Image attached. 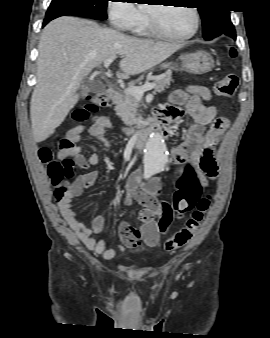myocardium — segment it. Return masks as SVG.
I'll return each mask as SVG.
<instances>
[{
	"label": "myocardium",
	"mask_w": 270,
	"mask_h": 338,
	"mask_svg": "<svg viewBox=\"0 0 270 338\" xmlns=\"http://www.w3.org/2000/svg\"><path fill=\"white\" fill-rule=\"evenodd\" d=\"M158 6L169 7V6H166V5H158ZM188 8L192 11V13L194 15V21H195L194 28L190 33H188L186 35H172V34H169L165 31H163L159 27L154 14L149 9L148 10V23H149V28H150L151 33L153 35L157 36V37H160V38L166 39V40H171V41H183V40H187V39L194 37L199 30L200 16H199V13H198L196 8H194L192 6H188Z\"/></svg>",
	"instance_id": "1"
}]
</instances>
